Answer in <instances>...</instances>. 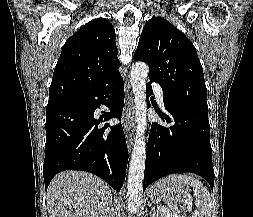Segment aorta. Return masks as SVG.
Here are the masks:
<instances>
[{"label": "aorta", "mask_w": 253, "mask_h": 217, "mask_svg": "<svg viewBox=\"0 0 253 217\" xmlns=\"http://www.w3.org/2000/svg\"><path fill=\"white\" fill-rule=\"evenodd\" d=\"M148 72L149 67L143 62H136L131 69L137 126L127 182V207L130 214L137 212L142 198L146 157L144 133L147 126L146 79Z\"/></svg>", "instance_id": "aorta-1"}]
</instances>
